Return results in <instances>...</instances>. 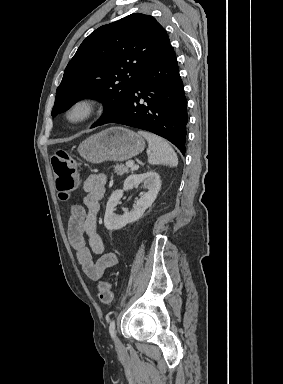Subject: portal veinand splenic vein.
Masks as SVG:
<instances>
[{"label":"portal vein and splenic vein","mask_w":283,"mask_h":384,"mask_svg":"<svg viewBox=\"0 0 283 384\" xmlns=\"http://www.w3.org/2000/svg\"><path fill=\"white\" fill-rule=\"evenodd\" d=\"M135 162H133V160H129V162H126V166L127 168H133Z\"/></svg>","instance_id":"obj_1"}]
</instances>
